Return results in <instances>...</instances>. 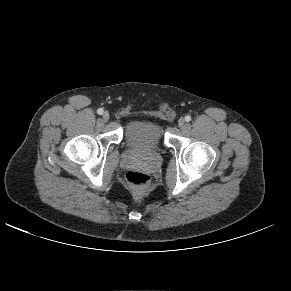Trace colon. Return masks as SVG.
<instances>
[{"instance_id":"5ec220e1","label":"colon","mask_w":291,"mask_h":291,"mask_svg":"<svg viewBox=\"0 0 291 291\" xmlns=\"http://www.w3.org/2000/svg\"><path fill=\"white\" fill-rule=\"evenodd\" d=\"M126 180L135 191L142 192L148 187L150 176L141 171H130L126 174Z\"/></svg>"}]
</instances>
